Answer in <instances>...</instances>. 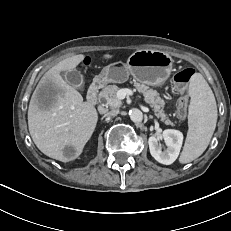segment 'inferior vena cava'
<instances>
[{"label": "inferior vena cava", "mask_w": 231, "mask_h": 231, "mask_svg": "<svg viewBox=\"0 0 231 231\" xmlns=\"http://www.w3.org/2000/svg\"><path fill=\"white\" fill-rule=\"evenodd\" d=\"M118 113H119V110L113 109V110H110L109 112H107L106 116L113 117V116H116Z\"/></svg>", "instance_id": "602c4592"}]
</instances>
